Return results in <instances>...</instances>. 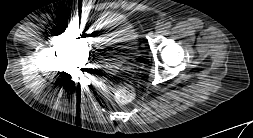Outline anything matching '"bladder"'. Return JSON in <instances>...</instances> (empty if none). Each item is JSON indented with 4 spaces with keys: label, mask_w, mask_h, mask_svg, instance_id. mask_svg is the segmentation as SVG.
<instances>
[{
    "label": "bladder",
    "mask_w": 253,
    "mask_h": 138,
    "mask_svg": "<svg viewBox=\"0 0 253 138\" xmlns=\"http://www.w3.org/2000/svg\"><path fill=\"white\" fill-rule=\"evenodd\" d=\"M133 34L132 27L122 19H110L100 30V44L109 49L116 47L127 52Z\"/></svg>",
    "instance_id": "obj_1"
}]
</instances>
